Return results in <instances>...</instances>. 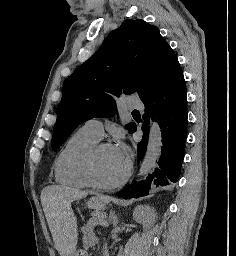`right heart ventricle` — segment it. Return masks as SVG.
I'll use <instances>...</instances> for the list:
<instances>
[{"mask_svg":"<svg viewBox=\"0 0 236 256\" xmlns=\"http://www.w3.org/2000/svg\"><path fill=\"white\" fill-rule=\"evenodd\" d=\"M97 143L95 138L82 129L75 132L56 158V182L72 188H91L88 177V158Z\"/></svg>","mask_w":236,"mask_h":256,"instance_id":"e07e8e85","label":"right heart ventricle"}]
</instances>
